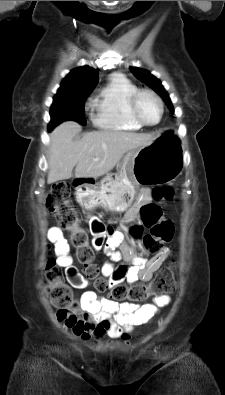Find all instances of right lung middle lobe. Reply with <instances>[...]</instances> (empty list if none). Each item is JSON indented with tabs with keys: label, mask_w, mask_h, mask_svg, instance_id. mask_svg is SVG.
Wrapping results in <instances>:
<instances>
[{
	"label": "right lung middle lobe",
	"mask_w": 225,
	"mask_h": 395,
	"mask_svg": "<svg viewBox=\"0 0 225 395\" xmlns=\"http://www.w3.org/2000/svg\"><path fill=\"white\" fill-rule=\"evenodd\" d=\"M91 91H59L50 109L49 130L63 121L73 120L86 125L84 102Z\"/></svg>",
	"instance_id": "dd1d6c3e"
}]
</instances>
